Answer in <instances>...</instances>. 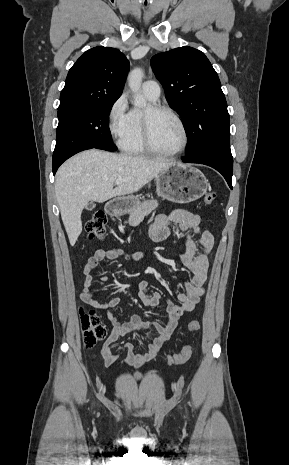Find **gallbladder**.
<instances>
[{
  "label": "gallbladder",
  "instance_id": "gallbladder-1",
  "mask_svg": "<svg viewBox=\"0 0 289 465\" xmlns=\"http://www.w3.org/2000/svg\"><path fill=\"white\" fill-rule=\"evenodd\" d=\"M95 207V204L93 202H90L86 205L87 210H92Z\"/></svg>",
  "mask_w": 289,
  "mask_h": 465
}]
</instances>
